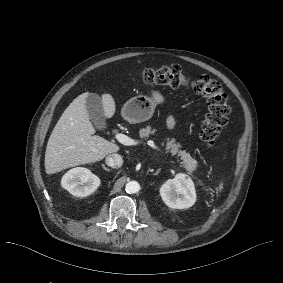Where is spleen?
<instances>
[{"mask_svg": "<svg viewBox=\"0 0 283 283\" xmlns=\"http://www.w3.org/2000/svg\"><path fill=\"white\" fill-rule=\"evenodd\" d=\"M223 189V184H220L219 185V190H222Z\"/></svg>", "mask_w": 283, "mask_h": 283, "instance_id": "spleen-1", "label": "spleen"}]
</instances>
